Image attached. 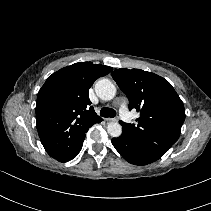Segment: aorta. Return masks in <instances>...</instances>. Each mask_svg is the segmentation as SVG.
Listing matches in <instances>:
<instances>
[{
  "label": "aorta",
  "mask_w": 211,
  "mask_h": 211,
  "mask_svg": "<svg viewBox=\"0 0 211 211\" xmlns=\"http://www.w3.org/2000/svg\"><path fill=\"white\" fill-rule=\"evenodd\" d=\"M97 96L105 101L112 100L116 94V87L109 79H101L95 84ZM107 131L112 137H119L122 133V127L117 122H110L107 125Z\"/></svg>",
  "instance_id": "762f6f07"
}]
</instances>
